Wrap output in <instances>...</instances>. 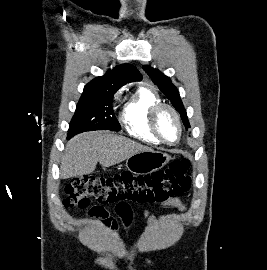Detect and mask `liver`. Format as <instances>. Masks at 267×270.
Listing matches in <instances>:
<instances>
[{"instance_id": "1", "label": "liver", "mask_w": 267, "mask_h": 270, "mask_svg": "<svg viewBox=\"0 0 267 270\" xmlns=\"http://www.w3.org/2000/svg\"><path fill=\"white\" fill-rule=\"evenodd\" d=\"M152 149L108 131L87 132L72 138L65 148L60 177L67 179L90 174L99 162L103 167L118 164L132 155Z\"/></svg>"}]
</instances>
